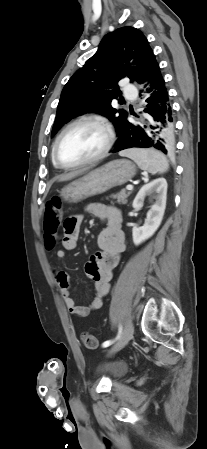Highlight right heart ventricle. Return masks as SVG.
I'll return each mask as SVG.
<instances>
[{"instance_id":"right-heart-ventricle-1","label":"right heart ventricle","mask_w":207,"mask_h":449,"mask_svg":"<svg viewBox=\"0 0 207 449\" xmlns=\"http://www.w3.org/2000/svg\"><path fill=\"white\" fill-rule=\"evenodd\" d=\"M52 162H53V165H54L55 167H58V166L56 165L54 159H53V156H52Z\"/></svg>"}]
</instances>
